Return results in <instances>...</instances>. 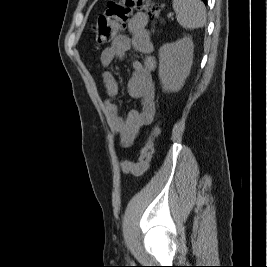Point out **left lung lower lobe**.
Instances as JSON below:
<instances>
[{"label":"left lung lower lobe","instance_id":"1","mask_svg":"<svg viewBox=\"0 0 267 267\" xmlns=\"http://www.w3.org/2000/svg\"><path fill=\"white\" fill-rule=\"evenodd\" d=\"M204 3H206L207 0H202Z\"/></svg>","mask_w":267,"mask_h":267}]
</instances>
